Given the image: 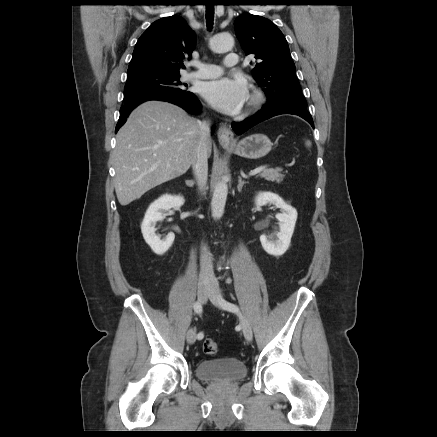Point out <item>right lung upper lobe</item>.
<instances>
[{
    "label": "right lung upper lobe",
    "mask_w": 437,
    "mask_h": 437,
    "mask_svg": "<svg viewBox=\"0 0 437 437\" xmlns=\"http://www.w3.org/2000/svg\"><path fill=\"white\" fill-rule=\"evenodd\" d=\"M196 36L180 16L161 18L138 39L127 74L180 73L183 60L191 56Z\"/></svg>",
    "instance_id": "right-lung-upper-lobe-1"
}]
</instances>
